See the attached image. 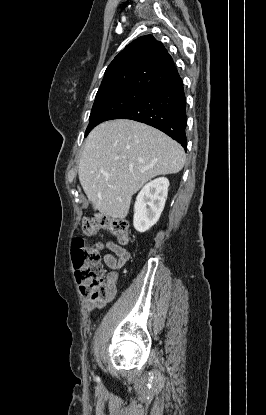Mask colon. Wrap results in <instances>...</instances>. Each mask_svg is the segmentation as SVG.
Returning a JSON list of instances; mask_svg holds the SVG:
<instances>
[{"label": "colon", "instance_id": "5ec220e1", "mask_svg": "<svg viewBox=\"0 0 266 415\" xmlns=\"http://www.w3.org/2000/svg\"><path fill=\"white\" fill-rule=\"evenodd\" d=\"M99 230H107L121 243L129 241L128 223L101 213L85 217L81 223L80 235L74 238L72 260L81 291L96 301H104L111 295V286L96 248L86 245L84 237L95 236Z\"/></svg>", "mask_w": 266, "mask_h": 415}]
</instances>
